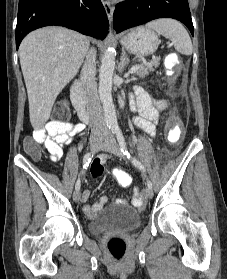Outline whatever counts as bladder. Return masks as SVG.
<instances>
[{"label": "bladder", "mask_w": 227, "mask_h": 279, "mask_svg": "<svg viewBox=\"0 0 227 279\" xmlns=\"http://www.w3.org/2000/svg\"><path fill=\"white\" fill-rule=\"evenodd\" d=\"M141 224V216L134 208L127 205L112 204L110 210L89 219L88 232L101 235L106 232H130Z\"/></svg>", "instance_id": "obj_1"}]
</instances>
